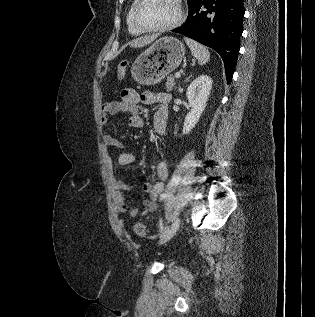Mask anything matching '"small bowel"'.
<instances>
[{"label": "small bowel", "mask_w": 315, "mask_h": 317, "mask_svg": "<svg viewBox=\"0 0 315 317\" xmlns=\"http://www.w3.org/2000/svg\"><path fill=\"white\" fill-rule=\"evenodd\" d=\"M169 102L170 95L166 93H155L151 91L138 93L134 90L126 89L121 92L120 100L108 102L103 106L101 124L105 126L109 116L122 112L129 116L128 124L130 127L141 128L144 125V120L139 113V105H156L153 114V128L156 134L163 135L167 128ZM103 142L108 147H123V143L111 134H104ZM135 160L136 156L133 153L124 152L118 155L117 164L119 166H126ZM155 175L156 180L154 182H146L141 186L142 190L148 195V198L143 201L142 211L137 207L129 205L124 197L125 192L133 191L137 186L133 183L120 180L114 181L115 200L121 213L132 218H137L157 210L158 200L164 191V182L169 175V164L167 161H160L156 164Z\"/></svg>", "instance_id": "1"}]
</instances>
